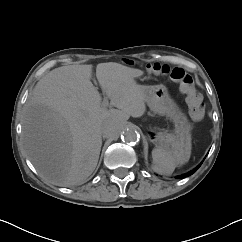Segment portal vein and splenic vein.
<instances>
[{"instance_id":"portal-vein-and-splenic-vein-1","label":"portal vein and splenic vein","mask_w":242,"mask_h":242,"mask_svg":"<svg viewBox=\"0 0 242 242\" xmlns=\"http://www.w3.org/2000/svg\"><path fill=\"white\" fill-rule=\"evenodd\" d=\"M108 105H109V100H108L107 97H104V100H103V102H102V106H103V107H107Z\"/></svg>"}]
</instances>
